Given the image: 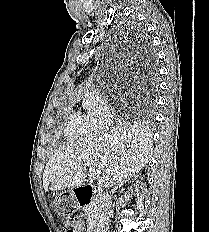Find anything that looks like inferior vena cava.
<instances>
[{
    "instance_id": "602c4592",
    "label": "inferior vena cava",
    "mask_w": 209,
    "mask_h": 232,
    "mask_svg": "<svg viewBox=\"0 0 209 232\" xmlns=\"http://www.w3.org/2000/svg\"><path fill=\"white\" fill-rule=\"evenodd\" d=\"M111 205V196L104 192L99 201V215L96 232H109V211Z\"/></svg>"
}]
</instances>
